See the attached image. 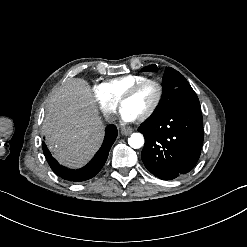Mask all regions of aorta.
Wrapping results in <instances>:
<instances>
[{
    "label": "aorta",
    "instance_id": "obj_1",
    "mask_svg": "<svg viewBox=\"0 0 247 247\" xmlns=\"http://www.w3.org/2000/svg\"><path fill=\"white\" fill-rule=\"evenodd\" d=\"M128 144L134 149L141 148L144 145L143 135L140 133H133L128 139Z\"/></svg>",
    "mask_w": 247,
    "mask_h": 247
}]
</instances>
